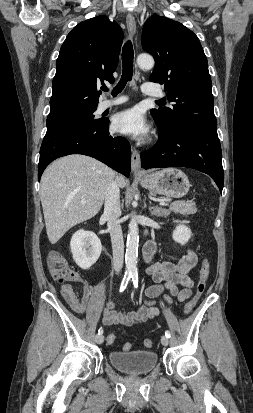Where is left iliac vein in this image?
I'll list each match as a JSON object with an SVG mask.
<instances>
[{
	"label": "left iliac vein",
	"mask_w": 253,
	"mask_h": 413,
	"mask_svg": "<svg viewBox=\"0 0 253 413\" xmlns=\"http://www.w3.org/2000/svg\"><path fill=\"white\" fill-rule=\"evenodd\" d=\"M161 343L163 346H167L169 344V339L166 336H162Z\"/></svg>",
	"instance_id": "4c4485c4"
}]
</instances>
